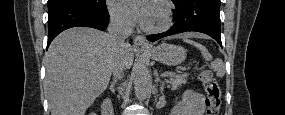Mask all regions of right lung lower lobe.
Segmentation results:
<instances>
[{
    "instance_id": "98d812e1",
    "label": "right lung lower lobe",
    "mask_w": 285,
    "mask_h": 115,
    "mask_svg": "<svg viewBox=\"0 0 285 115\" xmlns=\"http://www.w3.org/2000/svg\"><path fill=\"white\" fill-rule=\"evenodd\" d=\"M48 43L62 31L76 26L106 30L109 15L106 6L94 8L82 4H65L48 11Z\"/></svg>"
}]
</instances>
